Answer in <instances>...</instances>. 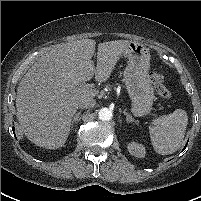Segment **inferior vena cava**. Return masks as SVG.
Segmentation results:
<instances>
[{"mask_svg":"<svg viewBox=\"0 0 201 201\" xmlns=\"http://www.w3.org/2000/svg\"><path fill=\"white\" fill-rule=\"evenodd\" d=\"M96 104L95 100L92 97H83L78 103V107L81 109H88L94 107Z\"/></svg>","mask_w":201,"mask_h":201,"instance_id":"1","label":"inferior vena cava"}]
</instances>
